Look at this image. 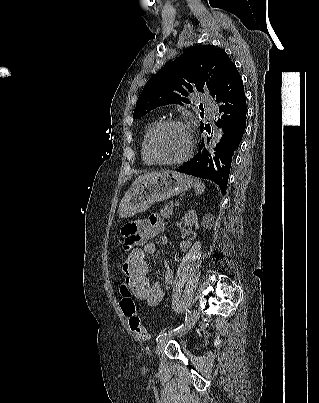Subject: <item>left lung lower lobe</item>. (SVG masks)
<instances>
[{
	"label": "left lung lower lobe",
	"mask_w": 319,
	"mask_h": 403,
	"mask_svg": "<svg viewBox=\"0 0 319 403\" xmlns=\"http://www.w3.org/2000/svg\"><path fill=\"white\" fill-rule=\"evenodd\" d=\"M214 98L217 103L221 104L219 112L223 115L216 125L222 128L224 135L214 148L213 154H209L204 148L189 162L184 163L178 171L209 179L220 187L222 194H225L232 156L241 142L246 127L247 113L243 81L234 64L227 71ZM203 130L210 133L208 125L203 124L201 131ZM203 147L204 140H202L200 150Z\"/></svg>",
	"instance_id": "obj_1"
}]
</instances>
